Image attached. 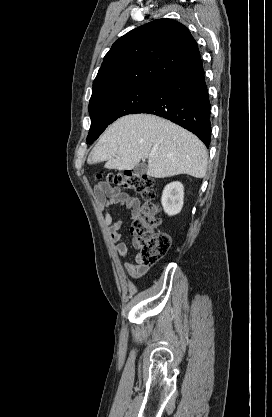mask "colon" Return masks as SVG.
<instances>
[{
  "label": "colon",
  "mask_w": 272,
  "mask_h": 417,
  "mask_svg": "<svg viewBox=\"0 0 272 417\" xmlns=\"http://www.w3.org/2000/svg\"><path fill=\"white\" fill-rule=\"evenodd\" d=\"M107 181L121 189H128L139 194L144 200L141 212L131 225V232L136 237L140 249V261L151 266L160 260L169 250L171 238L167 233L159 232V208L153 202L156 196L154 181L141 174L120 171L107 175Z\"/></svg>",
  "instance_id": "5ec220e1"
}]
</instances>
